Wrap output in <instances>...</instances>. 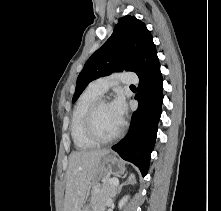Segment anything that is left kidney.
<instances>
[{
  "label": "left kidney",
  "instance_id": "5707ae66",
  "mask_svg": "<svg viewBox=\"0 0 221 211\" xmlns=\"http://www.w3.org/2000/svg\"><path fill=\"white\" fill-rule=\"evenodd\" d=\"M128 199H129V195H126L119 201V204H118L119 209H122L123 206H125Z\"/></svg>",
  "mask_w": 221,
  "mask_h": 211
}]
</instances>
